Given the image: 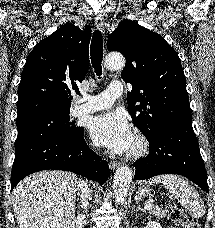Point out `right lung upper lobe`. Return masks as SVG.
Returning <instances> with one entry per match:
<instances>
[{"instance_id":"cb5924a9","label":"right lung upper lobe","mask_w":215,"mask_h":228,"mask_svg":"<svg viewBox=\"0 0 215 228\" xmlns=\"http://www.w3.org/2000/svg\"><path fill=\"white\" fill-rule=\"evenodd\" d=\"M90 36L89 26L66 23L33 48L18 88L17 122L70 112L71 90L88 71Z\"/></svg>"}]
</instances>
